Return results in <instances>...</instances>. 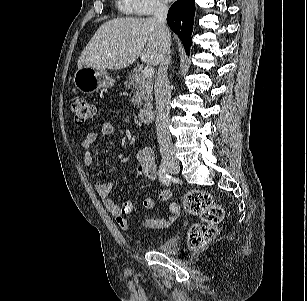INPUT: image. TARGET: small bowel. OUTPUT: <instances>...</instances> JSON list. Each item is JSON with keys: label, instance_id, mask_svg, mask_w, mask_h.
<instances>
[{"label": "small bowel", "instance_id": "obj_1", "mask_svg": "<svg viewBox=\"0 0 307 301\" xmlns=\"http://www.w3.org/2000/svg\"><path fill=\"white\" fill-rule=\"evenodd\" d=\"M113 133V124L108 121L101 122L97 131H91L87 133L81 142V147L84 151V164L88 168L89 177L103 199V203L106 209L115 217L118 226L123 231L130 230V224L126 216L130 215L134 211V203L132 200L125 201L122 205L116 203L111 197V184L102 180L100 175L94 171L93 163L94 158L92 155V148L99 137L110 136ZM136 161L138 163V173L146 176L151 180L159 178L156 164L154 162L153 152L150 148L145 147L140 149L136 154ZM160 199L163 201H169L173 197V193L169 188H164L160 192ZM143 206L148 211H155V199L153 197H146L143 200Z\"/></svg>", "mask_w": 307, "mask_h": 301}]
</instances>
